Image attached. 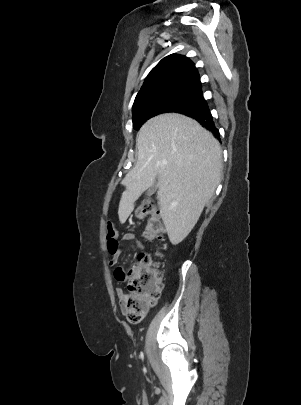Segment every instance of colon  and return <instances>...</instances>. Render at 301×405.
Returning <instances> with one entry per match:
<instances>
[{"instance_id": "1", "label": "colon", "mask_w": 301, "mask_h": 405, "mask_svg": "<svg viewBox=\"0 0 301 405\" xmlns=\"http://www.w3.org/2000/svg\"><path fill=\"white\" fill-rule=\"evenodd\" d=\"M136 216L147 218L144 229V237L147 240H160L164 237L166 229L160 212L152 202H142L136 209ZM116 235V229L108 223L106 238L108 251L111 254L119 246ZM161 290L162 275L159 263L148 254H139L137 262L129 271L127 288L120 301L121 309L128 321L133 324L139 323L144 318L148 307L159 298Z\"/></svg>"}]
</instances>
